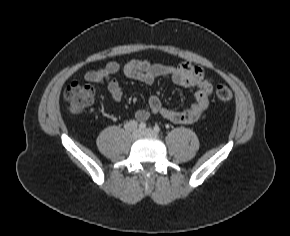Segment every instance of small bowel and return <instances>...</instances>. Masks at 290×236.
Returning <instances> with one entry per match:
<instances>
[{"label":"small bowel","instance_id":"1","mask_svg":"<svg viewBox=\"0 0 290 236\" xmlns=\"http://www.w3.org/2000/svg\"><path fill=\"white\" fill-rule=\"evenodd\" d=\"M119 71L125 77L145 84H151L159 77H168L178 86L196 88L193 104L184 110L166 107L158 96H151L148 108L135 113V118L139 122L146 121L151 115H157L173 123L190 124L199 120L209 106L212 83L202 68L188 62L168 66L141 59L131 60L123 65L110 61L103 67L86 72L84 79L93 84L106 83L113 101L119 103L123 98V91L114 78Z\"/></svg>","mask_w":290,"mask_h":236}]
</instances>
